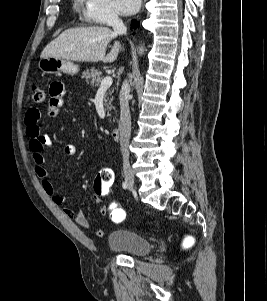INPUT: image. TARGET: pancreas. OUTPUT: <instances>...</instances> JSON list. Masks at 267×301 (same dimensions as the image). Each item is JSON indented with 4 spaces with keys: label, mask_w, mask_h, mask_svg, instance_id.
<instances>
[{
    "label": "pancreas",
    "mask_w": 267,
    "mask_h": 301,
    "mask_svg": "<svg viewBox=\"0 0 267 301\" xmlns=\"http://www.w3.org/2000/svg\"><path fill=\"white\" fill-rule=\"evenodd\" d=\"M83 77L86 78L87 83L91 86V87H98L102 77H101V72L97 69H95L94 67H92L89 70L83 72ZM113 93V91L109 92V95L111 96ZM112 101H113V97H111L110 99H105V106H106V110L107 112V116H109V111L112 109Z\"/></svg>",
    "instance_id": "pancreas-1"
}]
</instances>
